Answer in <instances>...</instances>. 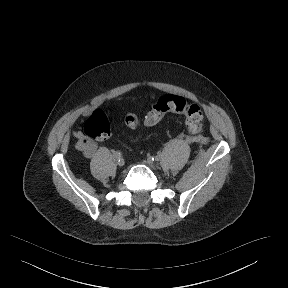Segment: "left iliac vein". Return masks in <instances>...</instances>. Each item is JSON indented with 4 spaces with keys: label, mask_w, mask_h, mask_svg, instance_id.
Instances as JSON below:
<instances>
[{
    "label": "left iliac vein",
    "mask_w": 288,
    "mask_h": 288,
    "mask_svg": "<svg viewBox=\"0 0 288 288\" xmlns=\"http://www.w3.org/2000/svg\"><path fill=\"white\" fill-rule=\"evenodd\" d=\"M143 164L149 166V167H154L155 163L153 162V160L151 158H148L147 160L143 161Z\"/></svg>",
    "instance_id": "1"
}]
</instances>
